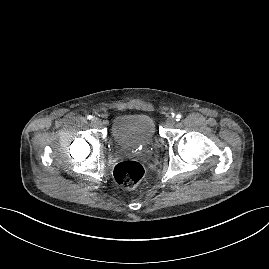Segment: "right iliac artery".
Masks as SVG:
<instances>
[{
  "mask_svg": "<svg viewBox=\"0 0 269 269\" xmlns=\"http://www.w3.org/2000/svg\"><path fill=\"white\" fill-rule=\"evenodd\" d=\"M87 119L91 120V119H93V116L89 115V116H87Z\"/></svg>",
  "mask_w": 269,
  "mask_h": 269,
  "instance_id": "1",
  "label": "right iliac artery"
}]
</instances>
